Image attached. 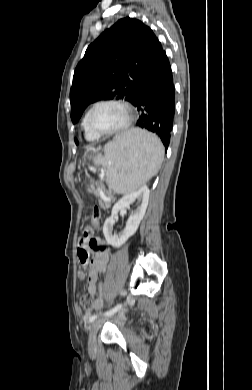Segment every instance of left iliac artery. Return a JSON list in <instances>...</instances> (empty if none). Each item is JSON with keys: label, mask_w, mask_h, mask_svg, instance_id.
I'll return each instance as SVG.
<instances>
[{"label": "left iliac artery", "mask_w": 252, "mask_h": 390, "mask_svg": "<svg viewBox=\"0 0 252 390\" xmlns=\"http://www.w3.org/2000/svg\"><path fill=\"white\" fill-rule=\"evenodd\" d=\"M122 308V304H117L115 307H113L111 310L103 313V314H100V315H103V316H111L113 314H115L117 311H119L120 309ZM99 317V315H93L89 318V322H93L95 319H97Z\"/></svg>", "instance_id": "obj_1"}]
</instances>
